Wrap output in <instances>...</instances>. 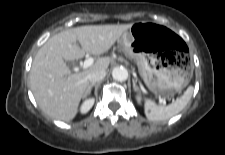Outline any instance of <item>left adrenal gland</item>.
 Returning <instances> with one entry per match:
<instances>
[{
  "label": "left adrenal gland",
  "instance_id": "obj_1",
  "mask_svg": "<svg viewBox=\"0 0 225 155\" xmlns=\"http://www.w3.org/2000/svg\"><path fill=\"white\" fill-rule=\"evenodd\" d=\"M132 82H133V89H134V91H139V88H138V86L136 85L135 79H133Z\"/></svg>",
  "mask_w": 225,
  "mask_h": 155
}]
</instances>
